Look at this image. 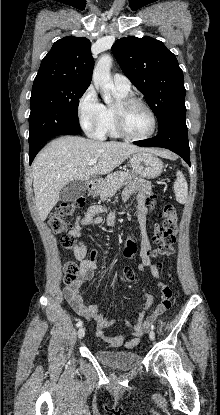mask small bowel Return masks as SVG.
Wrapping results in <instances>:
<instances>
[{
  "instance_id": "1",
  "label": "small bowel",
  "mask_w": 220,
  "mask_h": 415,
  "mask_svg": "<svg viewBox=\"0 0 220 415\" xmlns=\"http://www.w3.org/2000/svg\"><path fill=\"white\" fill-rule=\"evenodd\" d=\"M150 192V185L147 181L137 180L125 189L123 192V200L128 201L134 193H137L136 212L139 225V269H149L151 274L156 279H159L158 267L150 259V244L147 234L146 216ZM103 211L104 208L101 205H90L84 214L77 217L74 227L69 231V234L75 239V256L81 261V266L78 279L73 284L64 288L63 295L76 314L96 323V335L100 339L111 347L124 346L127 349H131L139 344L141 337L148 331L151 323L160 315L155 311L151 315L146 316V311L152 305V298L149 295L147 296L145 310L138 317L129 338L123 335H108L105 329L113 326L115 321L105 318L96 305L87 303L84 300L83 287L85 283L93 280L95 277V272L98 268L99 251L92 249L88 252L81 236L85 227L103 222L102 217L99 216ZM114 220L115 213L110 212L105 222L107 225H112ZM130 240L136 242L133 237L126 239V241ZM87 255L88 258H86Z\"/></svg>"
}]
</instances>
